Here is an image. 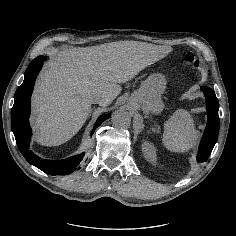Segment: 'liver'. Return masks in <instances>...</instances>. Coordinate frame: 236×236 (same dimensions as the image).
<instances>
[{"label":"liver","instance_id":"liver-1","mask_svg":"<svg viewBox=\"0 0 236 236\" xmlns=\"http://www.w3.org/2000/svg\"><path fill=\"white\" fill-rule=\"evenodd\" d=\"M170 50L119 41L60 52L48 62L33 96L36 140L49 146L66 142L85 122L96 96L109 97V105L121 92L119 84L135 78L149 57L163 58Z\"/></svg>","mask_w":236,"mask_h":236}]
</instances>
